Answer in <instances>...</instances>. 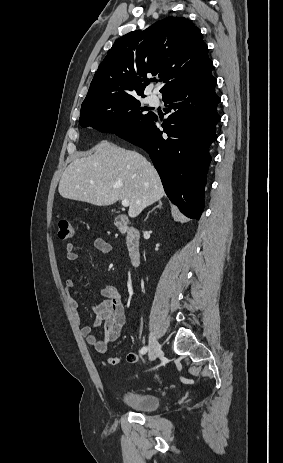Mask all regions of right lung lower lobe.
Returning a JSON list of instances; mask_svg holds the SVG:
<instances>
[{
    "mask_svg": "<svg viewBox=\"0 0 283 463\" xmlns=\"http://www.w3.org/2000/svg\"><path fill=\"white\" fill-rule=\"evenodd\" d=\"M216 78L184 85L162 96L169 115L160 124L152 115L136 131L120 137L146 150L171 202L187 217L199 220L204 208V186L220 120L216 108ZM163 127V131L159 128Z\"/></svg>",
    "mask_w": 283,
    "mask_h": 463,
    "instance_id": "right-lung-lower-lobe-1",
    "label": "right lung lower lobe"
}]
</instances>
